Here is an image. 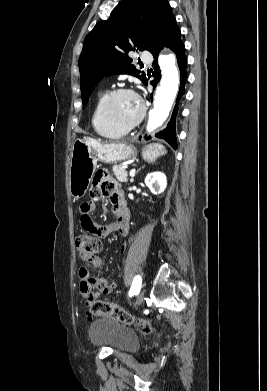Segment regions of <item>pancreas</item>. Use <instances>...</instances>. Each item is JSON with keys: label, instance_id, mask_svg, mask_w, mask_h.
I'll use <instances>...</instances> for the list:
<instances>
[{"label": "pancreas", "instance_id": "cf45deb5", "mask_svg": "<svg viewBox=\"0 0 267 391\" xmlns=\"http://www.w3.org/2000/svg\"><path fill=\"white\" fill-rule=\"evenodd\" d=\"M124 166L123 165H119V166H114L112 168V171H113V174L115 175V177L118 179V181L120 182H127L128 181V174L125 170V168H123Z\"/></svg>", "mask_w": 267, "mask_h": 391}]
</instances>
